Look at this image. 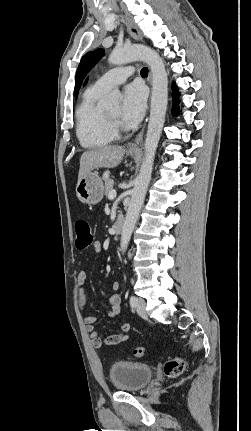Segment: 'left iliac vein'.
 Wrapping results in <instances>:
<instances>
[{"mask_svg":"<svg viewBox=\"0 0 251 431\" xmlns=\"http://www.w3.org/2000/svg\"><path fill=\"white\" fill-rule=\"evenodd\" d=\"M136 311H137L139 316H141L143 318L147 317L146 302L144 299L137 298Z\"/></svg>","mask_w":251,"mask_h":431,"instance_id":"1","label":"left iliac vein"}]
</instances>
